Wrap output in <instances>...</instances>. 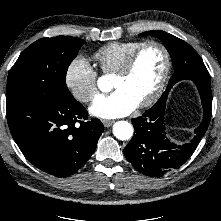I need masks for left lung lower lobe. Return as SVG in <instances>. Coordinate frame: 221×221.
Segmentation results:
<instances>
[{"instance_id":"1","label":"left lung lower lobe","mask_w":221,"mask_h":221,"mask_svg":"<svg viewBox=\"0 0 221 221\" xmlns=\"http://www.w3.org/2000/svg\"><path fill=\"white\" fill-rule=\"evenodd\" d=\"M198 88L203 105V120L195 129L196 136L190 143L177 146L171 143L165 133L164 114L168 93L167 88L152 108L142 116L132 119L134 136L124 148V155L140 173L160 177L178 169L194 153L204 136L211 119L212 93L208 82L193 80Z\"/></svg>"}]
</instances>
